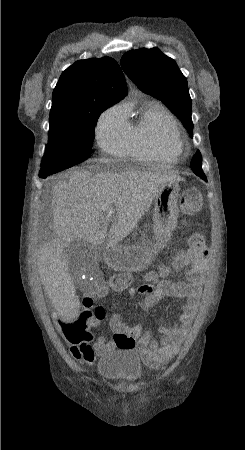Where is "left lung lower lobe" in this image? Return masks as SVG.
Segmentation results:
<instances>
[{
	"instance_id": "1",
	"label": "left lung lower lobe",
	"mask_w": 245,
	"mask_h": 450,
	"mask_svg": "<svg viewBox=\"0 0 245 450\" xmlns=\"http://www.w3.org/2000/svg\"><path fill=\"white\" fill-rule=\"evenodd\" d=\"M203 180L207 181L206 176L201 177Z\"/></svg>"
}]
</instances>
